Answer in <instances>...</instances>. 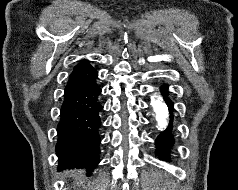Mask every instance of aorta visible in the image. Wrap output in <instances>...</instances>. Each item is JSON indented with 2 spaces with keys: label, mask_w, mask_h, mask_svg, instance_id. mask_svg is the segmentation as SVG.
I'll return each instance as SVG.
<instances>
[{
  "label": "aorta",
  "mask_w": 238,
  "mask_h": 190,
  "mask_svg": "<svg viewBox=\"0 0 238 190\" xmlns=\"http://www.w3.org/2000/svg\"><path fill=\"white\" fill-rule=\"evenodd\" d=\"M151 106L155 113L158 128H166L169 119V109L163 98L158 93H154L151 96Z\"/></svg>",
  "instance_id": "aorta-1"
}]
</instances>
